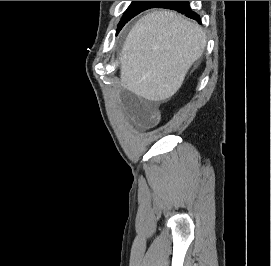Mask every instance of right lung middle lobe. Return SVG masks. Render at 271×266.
Here are the masks:
<instances>
[{
    "label": "right lung middle lobe",
    "mask_w": 271,
    "mask_h": 266,
    "mask_svg": "<svg viewBox=\"0 0 271 266\" xmlns=\"http://www.w3.org/2000/svg\"><path fill=\"white\" fill-rule=\"evenodd\" d=\"M160 1H132L131 5L128 7L126 12L124 13L117 29V33L121 30V28L134 16L139 14L140 12L153 8Z\"/></svg>",
    "instance_id": "dd1d6c3e"
}]
</instances>
